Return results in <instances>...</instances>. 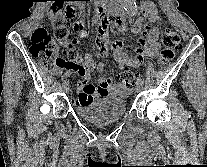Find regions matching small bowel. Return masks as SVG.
Wrapping results in <instances>:
<instances>
[{"label":"small bowel","mask_w":207,"mask_h":167,"mask_svg":"<svg viewBox=\"0 0 207 167\" xmlns=\"http://www.w3.org/2000/svg\"><path fill=\"white\" fill-rule=\"evenodd\" d=\"M157 21H159V17L154 5L152 3L144 4L142 6V18L138 19L132 27V32L134 34H141V37L138 38L136 44L133 46L135 52L133 57H129L122 51L121 43L114 42L112 44L114 57L121 68H136L143 63L144 59L155 58L158 55L160 49V30L158 27L151 26V24ZM114 25H119V22L114 21ZM108 26V21L103 22L99 27L96 39L99 53L104 58L108 56ZM120 29H125L123 22ZM79 35L81 37H85L87 35V31L81 30ZM64 68L66 69L64 77H67L71 73H76L81 78L77 87V98L74 100V103L77 105L88 103L100 97H122L130 93L129 88H125L121 84L115 83L111 77L100 78L98 85L89 82L88 71L85 67L73 68L65 64Z\"/></svg>","instance_id":"c3829d8e"}]
</instances>
